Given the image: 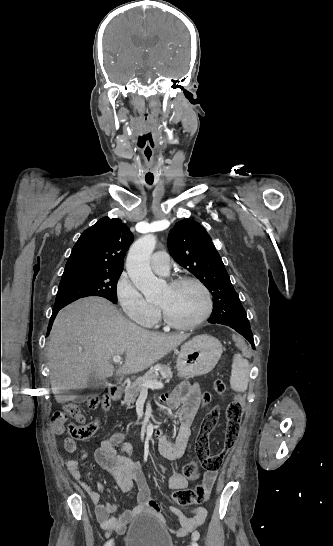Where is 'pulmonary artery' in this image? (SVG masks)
<instances>
[{
    "label": "pulmonary artery",
    "instance_id": "pulmonary-artery-1",
    "mask_svg": "<svg viewBox=\"0 0 333 546\" xmlns=\"http://www.w3.org/2000/svg\"><path fill=\"white\" fill-rule=\"evenodd\" d=\"M151 268L154 272L167 275L170 270V257L165 251H158L151 257Z\"/></svg>",
    "mask_w": 333,
    "mask_h": 546
}]
</instances>
